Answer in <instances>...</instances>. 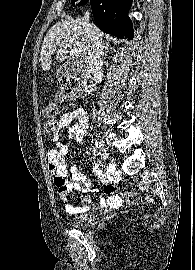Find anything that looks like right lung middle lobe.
<instances>
[{"instance_id": "right-lung-middle-lobe-1", "label": "right lung middle lobe", "mask_w": 195, "mask_h": 270, "mask_svg": "<svg viewBox=\"0 0 195 270\" xmlns=\"http://www.w3.org/2000/svg\"><path fill=\"white\" fill-rule=\"evenodd\" d=\"M76 1H78V0H71L73 6H75L74 3H75ZM79 1H81V0H79ZM78 5L81 6V5H83V3H82V2H81V3L79 2Z\"/></svg>"}]
</instances>
